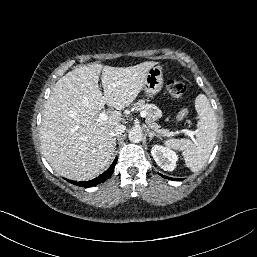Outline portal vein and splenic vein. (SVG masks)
Wrapping results in <instances>:
<instances>
[{
  "label": "portal vein and splenic vein",
  "mask_w": 257,
  "mask_h": 257,
  "mask_svg": "<svg viewBox=\"0 0 257 257\" xmlns=\"http://www.w3.org/2000/svg\"><path fill=\"white\" fill-rule=\"evenodd\" d=\"M140 115H141V117H146L145 111H141ZM107 118H108L107 114H106L105 112H101V113L99 114L98 120H100V121H101V120H106ZM182 132L185 133V134H187V135H189V136H192V135H193V132H192V131H189V130H186V129L182 130ZM172 133L175 134L174 132H172Z\"/></svg>",
  "instance_id": "18ae733b"
}]
</instances>
